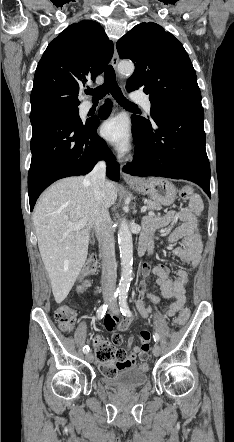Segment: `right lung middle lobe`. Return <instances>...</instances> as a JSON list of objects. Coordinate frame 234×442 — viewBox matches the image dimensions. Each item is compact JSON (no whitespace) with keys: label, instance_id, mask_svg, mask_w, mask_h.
Listing matches in <instances>:
<instances>
[{"label":"right lung middle lobe","instance_id":"obj_1","mask_svg":"<svg viewBox=\"0 0 234 442\" xmlns=\"http://www.w3.org/2000/svg\"><path fill=\"white\" fill-rule=\"evenodd\" d=\"M48 111H50V112L67 113V114L71 115L73 118H75L77 121H81V119L79 117L78 106H75V107H61V108L51 109V110H48Z\"/></svg>","mask_w":234,"mask_h":442}]
</instances>
